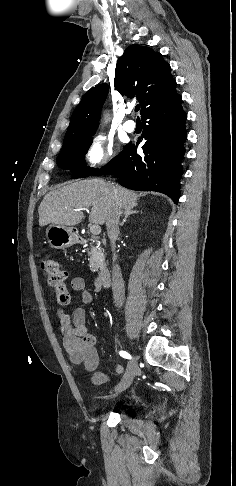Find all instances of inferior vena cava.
I'll return each instance as SVG.
<instances>
[{
	"label": "inferior vena cava",
	"mask_w": 236,
	"mask_h": 486,
	"mask_svg": "<svg viewBox=\"0 0 236 486\" xmlns=\"http://www.w3.org/2000/svg\"><path fill=\"white\" fill-rule=\"evenodd\" d=\"M111 189L114 191V185H110ZM121 215V208L114 202L112 205V209L107 219L106 226H107V233L108 237L111 242V247L113 251V259L116 260L117 255H115L114 251L116 248V239L119 235V218ZM112 290H113V299L116 306H122L124 298H125V288H124V281L121 273V269L118 264L114 265L112 270Z\"/></svg>",
	"instance_id": "602c4592"
}]
</instances>
